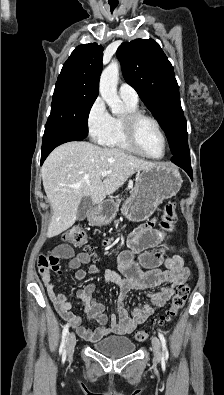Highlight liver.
Returning <instances> with one entry per match:
<instances>
[{
	"label": "liver",
	"instance_id": "obj_1",
	"mask_svg": "<svg viewBox=\"0 0 224 395\" xmlns=\"http://www.w3.org/2000/svg\"><path fill=\"white\" fill-rule=\"evenodd\" d=\"M158 163L146 161L116 148L89 142H68L57 147L44 162L41 175L53 215L47 237L69 229L77 219L81 199L101 203L135 172ZM103 171L110 172L105 178Z\"/></svg>",
	"mask_w": 224,
	"mask_h": 395
}]
</instances>
